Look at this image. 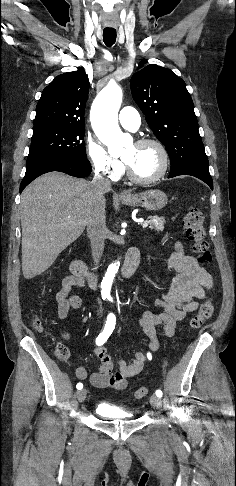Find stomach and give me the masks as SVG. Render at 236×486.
<instances>
[{
  "mask_svg": "<svg viewBox=\"0 0 236 486\" xmlns=\"http://www.w3.org/2000/svg\"><path fill=\"white\" fill-rule=\"evenodd\" d=\"M121 201L129 206H141L147 210L158 211L167 205L168 198L163 191L154 189L121 198Z\"/></svg>",
  "mask_w": 236,
  "mask_h": 486,
  "instance_id": "stomach-1",
  "label": "stomach"
}]
</instances>
